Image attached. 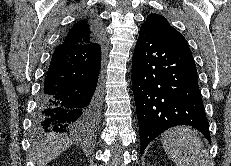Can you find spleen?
<instances>
[{
	"mask_svg": "<svg viewBox=\"0 0 231 166\" xmlns=\"http://www.w3.org/2000/svg\"><path fill=\"white\" fill-rule=\"evenodd\" d=\"M161 142L177 166H210L208 151L197 131L187 126L174 127L163 133Z\"/></svg>",
	"mask_w": 231,
	"mask_h": 166,
	"instance_id": "1",
	"label": "spleen"
}]
</instances>
